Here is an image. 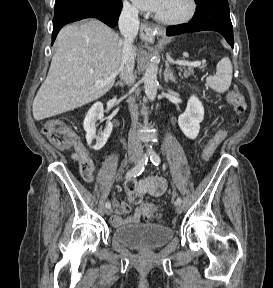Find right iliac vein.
Returning <instances> with one entry per match:
<instances>
[{"label":"right iliac vein","instance_id":"1","mask_svg":"<svg viewBox=\"0 0 273 288\" xmlns=\"http://www.w3.org/2000/svg\"><path fill=\"white\" fill-rule=\"evenodd\" d=\"M131 160V162H136L137 160L135 159V158H131L130 159ZM105 213H106V215H111L112 214V209L111 208H107L106 210H105Z\"/></svg>","mask_w":273,"mask_h":288}]
</instances>
